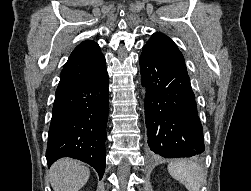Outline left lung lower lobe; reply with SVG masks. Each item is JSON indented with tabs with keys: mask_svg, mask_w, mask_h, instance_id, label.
I'll list each match as a JSON object with an SVG mask.
<instances>
[{
	"mask_svg": "<svg viewBox=\"0 0 251 191\" xmlns=\"http://www.w3.org/2000/svg\"><path fill=\"white\" fill-rule=\"evenodd\" d=\"M140 72L147 92L145 122L151 154L177 158L203 153V129L187 71L143 51Z\"/></svg>",
	"mask_w": 251,
	"mask_h": 191,
	"instance_id": "obj_1",
	"label": "left lung lower lobe"
}]
</instances>
